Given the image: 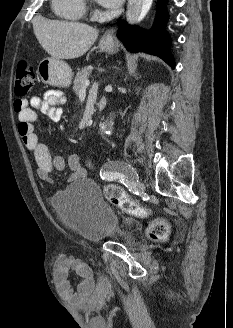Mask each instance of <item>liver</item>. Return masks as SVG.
<instances>
[{"instance_id": "6515ba94", "label": "liver", "mask_w": 233, "mask_h": 328, "mask_svg": "<svg viewBox=\"0 0 233 328\" xmlns=\"http://www.w3.org/2000/svg\"><path fill=\"white\" fill-rule=\"evenodd\" d=\"M34 33L42 48L56 59H75L84 55L98 37V30L77 22L33 20Z\"/></svg>"}]
</instances>
